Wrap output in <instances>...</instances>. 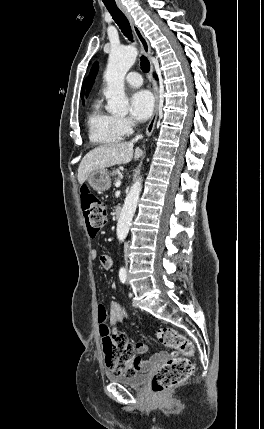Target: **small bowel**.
I'll use <instances>...</instances> for the list:
<instances>
[{
	"label": "small bowel",
	"instance_id": "c3829d8e",
	"mask_svg": "<svg viewBox=\"0 0 264 429\" xmlns=\"http://www.w3.org/2000/svg\"><path fill=\"white\" fill-rule=\"evenodd\" d=\"M98 255L97 250L91 251V256L93 259H95ZM100 263L102 267L106 270H109L113 266V260L111 255L109 254H102L100 257ZM102 305V304H100ZM103 306V305H102ZM109 323L105 322L106 330L102 328V326L99 324V333L102 338V344H104V341L112 334L120 333L115 325L117 322H122L127 319V313L122 305L118 303H113L110 306L109 311ZM112 328V334L110 332V329ZM135 348L137 352L139 353L138 356H135L132 362L130 363V368L134 370L135 372H144L154 366L159 365L160 363L164 362L168 357L169 354L167 353H160L157 355H154L149 361H146L142 358L141 355L145 354L148 351V345L144 342H139L135 345Z\"/></svg>",
	"mask_w": 264,
	"mask_h": 429
}]
</instances>
